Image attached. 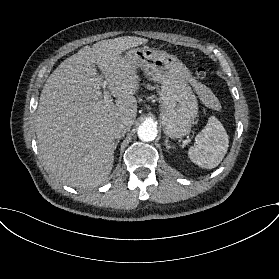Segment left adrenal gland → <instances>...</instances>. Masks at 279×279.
<instances>
[{
    "mask_svg": "<svg viewBox=\"0 0 279 279\" xmlns=\"http://www.w3.org/2000/svg\"><path fill=\"white\" fill-rule=\"evenodd\" d=\"M164 146H165L168 150H170V149H176L175 147H172V146H170V145L168 144V140H165V141H164Z\"/></svg>",
    "mask_w": 279,
    "mask_h": 279,
    "instance_id": "obj_1",
    "label": "left adrenal gland"
}]
</instances>
